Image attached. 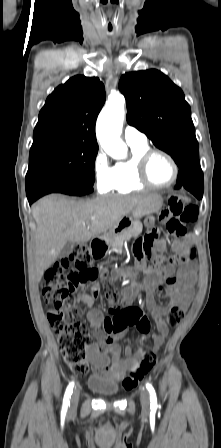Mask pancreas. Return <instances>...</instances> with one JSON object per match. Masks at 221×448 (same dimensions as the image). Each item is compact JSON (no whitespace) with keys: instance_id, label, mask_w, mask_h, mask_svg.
Listing matches in <instances>:
<instances>
[{"instance_id":"obj_1","label":"pancreas","mask_w":221,"mask_h":448,"mask_svg":"<svg viewBox=\"0 0 221 448\" xmlns=\"http://www.w3.org/2000/svg\"><path fill=\"white\" fill-rule=\"evenodd\" d=\"M142 231V224L139 222L134 223L130 228L124 231L121 235L114 238L111 243L112 250L116 252L122 251V247L125 241H128L132 237L139 235Z\"/></svg>"}]
</instances>
